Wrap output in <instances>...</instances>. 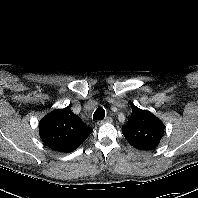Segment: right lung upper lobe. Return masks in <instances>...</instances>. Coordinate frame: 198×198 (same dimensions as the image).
Segmentation results:
<instances>
[{
	"label": "right lung upper lobe",
	"mask_w": 198,
	"mask_h": 198,
	"mask_svg": "<svg viewBox=\"0 0 198 198\" xmlns=\"http://www.w3.org/2000/svg\"><path fill=\"white\" fill-rule=\"evenodd\" d=\"M39 130L44 143L59 152L74 151L93 132L69 107L57 109L43 117Z\"/></svg>",
	"instance_id": "1"
}]
</instances>
